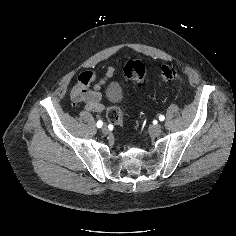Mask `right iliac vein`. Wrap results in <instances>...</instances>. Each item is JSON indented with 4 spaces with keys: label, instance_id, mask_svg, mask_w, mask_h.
Segmentation results:
<instances>
[{
    "label": "right iliac vein",
    "instance_id": "1",
    "mask_svg": "<svg viewBox=\"0 0 236 236\" xmlns=\"http://www.w3.org/2000/svg\"><path fill=\"white\" fill-rule=\"evenodd\" d=\"M108 132H109L108 127H107L106 125H104V126L102 127V133H103V134H108Z\"/></svg>",
    "mask_w": 236,
    "mask_h": 236
}]
</instances>
